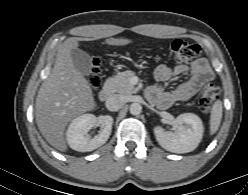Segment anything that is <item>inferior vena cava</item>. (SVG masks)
Returning <instances> with one entry per match:
<instances>
[{
    "label": "inferior vena cava",
    "mask_w": 248,
    "mask_h": 195,
    "mask_svg": "<svg viewBox=\"0 0 248 195\" xmlns=\"http://www.w3.org/2000/svg\"><path fill=\"white\" fill-rule=\"evenodd\" d=\"M124 97L122 95H112L106 100V108L109 111H118L124 104Z\"/></svg>",
    "instance_id": "602c4592"
}]
</instances>
